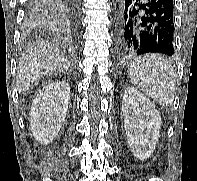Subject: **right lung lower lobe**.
<instances>
[{"instance_id": "right-lung-lower-lobe-1", "label": "right lung lower lobe", "mask_w": 197, "mask_h": 181, "mask_svg": "<svg viewBox=\"0 0 197 181\" xmlns=\"http://www.w3.org/2000/svg\"><path fill=\"white\" fill-rule=\"evenodd\" d=\"M80 0H29L27 24L72 39L78 29Z\"/></svg>"}]
</instances>
